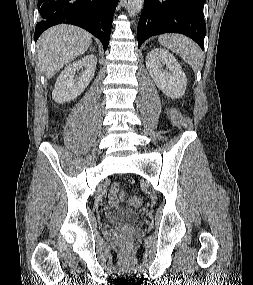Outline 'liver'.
I'll return each mask as SVG.
<instances>
[{
	"label": "liver",
	"mask_w": 253,
	"mask_h": 285,
	"mask_svg": "<svg viewBox=\"0 0 253 285\" xmlns=\"http://www.w3.org/2000/svg\"><path fill=\"white\" fill-rule=\"evenodd\" d=\"M91 37L84 29L72 25H57L46 30L37 43L41 71L51 79L64 65L90 47Z\"/></svg>",
	"instance_id": "obj_1"
}]
</instances>
